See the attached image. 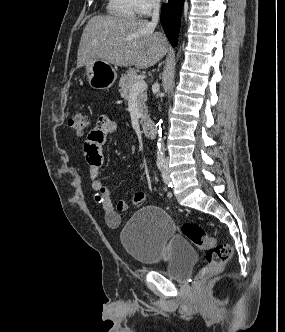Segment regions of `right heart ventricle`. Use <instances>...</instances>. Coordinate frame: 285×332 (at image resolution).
Instances as JSON below:
<instances>
[{
  "label": "right heart ventricle",
  "mask_w": 285,
  "mask_h": 332,
  "mask_svg": "<svg viewBox=\"0 0 285 332\" xmlns=\"http://www.w3.org/2000/svg\"><path fill=\"white\" fill-rule=\"evenodd\" d=\"M107 11L110 15L132 19L136 16L134 0H108Z\"/></svg>",
  "instance_id": "obj_1"
}]
</instances>
